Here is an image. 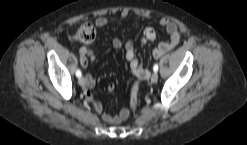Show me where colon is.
<instances>
[{
    "mask_svg": "<svg viewBox=\"0 0 247 145\" xmlns=\"http://www.w3.org/2000/svg\"><path fill=\"white\" fill-rule=\"evenodd\" d=\"M95 27L92 23L86 22L83 23L77 30L75 38L76 40L83 43H90L95 38ZM139 99V87L138 83H134L131 90L130 96V105L132 109H135L138 106Z\"/></svg>",
    "mask_w": 247,
    "mask_h": 145,
    "instance_id": "obj_1",
    "label": "colon"
}]
</instances>
